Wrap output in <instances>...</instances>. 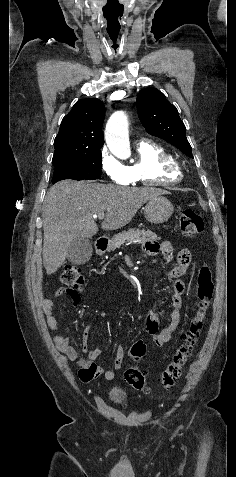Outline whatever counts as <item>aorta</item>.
<instances>
[{
  "instance_id": "obj_1",
  "label": "aorta",
  "mask_w": 236,
  "mask_h": 477,
  "mask_svg": "<svg viewBox=\"0 0 236 477\" xmlns=\"http://www.w3.org/2000/svg\"><path fill=\"white\" fill-rule=\"evenodd\" d=\"M105 140L110 150L117 156H130L128 119L124 112H115L108 120L105 128Z\"/></svg>"
}]
</instances>
